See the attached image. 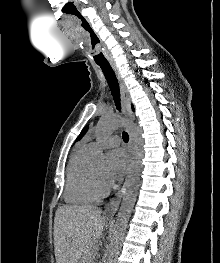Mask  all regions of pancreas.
Segmentation results:
<instances>
[{
    "instance_id": "cf45deb5",
    "label": "pancreas",
    "mask_w": 220,
    "mask_h": 263,
    "mask_svg": "<svg viewBox=\"0 0 220 263\" xmlns=\"http://www.w3.org/2000/svg\"><path fill=\"white\" fill-rule=\"evenodd\" d=\"M96 251H97V249H96V247H95V248L93 249V251H92V255L95 254Z\"/></svg>"
}]
</instances>
